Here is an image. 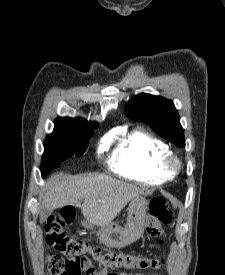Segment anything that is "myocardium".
Returning a JSON list of instances; mask_svg holds the SVG:
<instances>
[{
	"label": "myocardium",
	"mask_w": 225,
	"mask_h": 275,
	"mask_svg": "<svg viewBox=\"0 0 225 275\" xmlns=\"http://www.w3.org/2000/svg\"><path fill=\"white\" fill-rule=\"evenodd\" d=\"M164 165L168 171L177 174L182 169L181 159L174 153L170 152L164 161Z\"/></svg>",
	"instance_id": "1"
}]
</instances>
